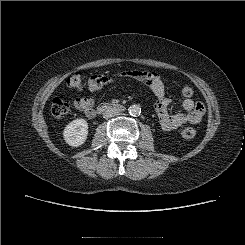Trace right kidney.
Listing matches in <instances>:
<instances>
[{
	"mask_svg": "<svg viewBox=\"0 0 245 245\" xmlns=\"http://www.w3.org/2000/svg\"><path fill=\"white\" fill-rule=\"evenodd\" d=\"M88 136V123L79 118L71 121L63 131L65 142L72 147H78L85 143Z\"/></svg>",
	"mask_w": 245,
	"mask_h": 245,
	"instance_id": "obj_1",
	"label": "right kidney"
}]
</instances>
